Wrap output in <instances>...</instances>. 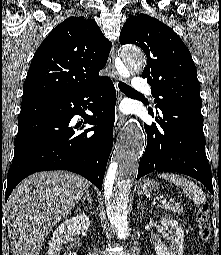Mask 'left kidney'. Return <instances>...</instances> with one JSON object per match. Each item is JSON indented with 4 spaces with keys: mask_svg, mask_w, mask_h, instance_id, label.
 I'll return each instance as SVG.
<instances>
[{
    "mask_svg": "<svg viewBox=\"0 0 221 255\" xmlns=\"http://www.w3.org/2000/svg\"><path fill=\"white\" fill-rule=\"evenodd\" d=\"M161 224L164 226L165 235L170 239L171 245L165 247L161 242L155 244L157 255H183L184 232L176 220L163 217Z\"/></svg>",
    "mask_w": 221,
    "mask_h": 255,
    "instance_id": "5707ae66",
    "label": "left kidney"
}]
</instances>
